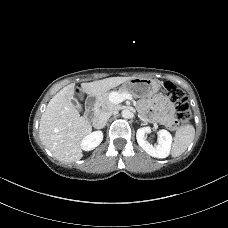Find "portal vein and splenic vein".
Listing matches in <instances>:
<instances>
[{
  "label": "portal vein and splenic vein",
  "instance_id": "1",
  "mask_svg": "<svg viewBox=\"0 0 228 228\" xmlns=\"http://www.w3.org/2000/svg\"><path fill=\"white\" fill-rule=\"evenodd\" d=\"M131 100L132 99V95L124 93V94H118V93H113L111 95V102L114 104H119L124 100Z\"/></svg>",
  "mask_w": 228,
  "mask_h": 228
}]
</instances>
